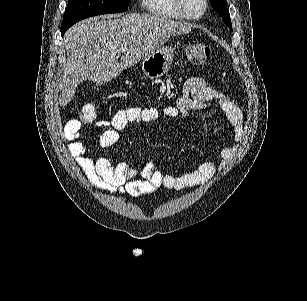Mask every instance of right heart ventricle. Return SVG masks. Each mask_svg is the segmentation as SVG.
<instances>
[{"label": "right heart ventricle", "instance_id": "obj_1", "mask_svg": "<svg viewBox=\"0 0 307 301\" xmlns=\"http://www.w3.org/2000/svg\"><path fill=\"white\" fill-rule=\"evenodd\" d=\"M176 3V0H145L148 13H154V17H182V10L173 9Z\"/></svg>", "mask_w": 307, "mask_h": 301}]
</instances>
